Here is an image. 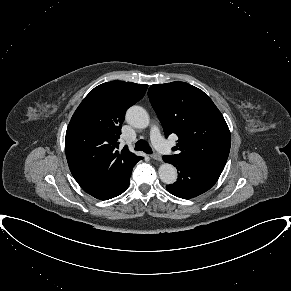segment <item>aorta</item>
I'll list each match as a JSON object with an SVG mask.
<instances>
[{
  "mask_svg": "<svg viewBox=\"0 0 291 291\" xmlns=\"http://www.w3.org/2000/svg\"><path fill=\"white\" fill-rule=\"evenodd\" d=\"M127 122L136 128H146L150 123V118L147 111L141 106H132L126 112ZM158 174L161 181L165 184H173L177 180L176 168L169 164L164 163L160 165Z\"/></svg>",
  "mask_w": 291,
  "mask_h": 291,
  "instance_id": "762f6f07",
  "label": "aorta"
}]
</instances>
